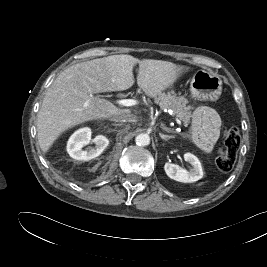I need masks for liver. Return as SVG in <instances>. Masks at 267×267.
<instances>
[{"instance_id": "liver-1", "label": "liver", "mask_w": 267, "mask_h": 267, "mask_svg": "<svg viewBox=\"0 0 267 267\" xmlns=\"http://www.w3.org/2000/svg\"><path fill=\"white\" fill-rule=\"evenodd\" d=\"M137 82L149 97H157L189 68L168 61L112 55L75 64L64 70L47 90L37 116L38 142L47 152L67 129L87 121L112 118L129 109H119L99 92L123 91Z\"/></svg>"}]
</instances>
